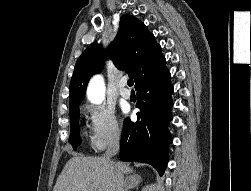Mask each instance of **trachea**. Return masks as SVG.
<instances>
[{"instance_id":"obj_1","label":"trachea","mask_w":251,"mask_h":191,"mask_svg":"<svg viewBox=\"0 0 251 191\" xmlns=\"http://www.w3.org/2000/svg\"><path fill=\"white\" fill-rule=\"evenodd\" d=\"M127 84H128V86L132 87L133 84H134V81L133 80H128Z\"/></svg>"}]
</instances>
